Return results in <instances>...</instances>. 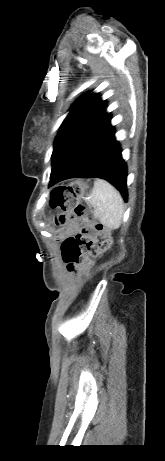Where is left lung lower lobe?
<instances>
[{
  "instance_id": "1",
  "label": "left lung lower lobe",
  "mask_w": 165,
  "mask_h": 461,
  "mask_svg": "<svg viewBox=\"0 0 165 461\" xmlns=\"http://www.w3.org/2000/svg\"><path fill=\"white\" fill-rule=\"evenodd\" d=\"M105 113L75 144L51 175L49 186L75 177L102 178L114 185L127 201V166Z\"/></svg>"
}]
</instances>
